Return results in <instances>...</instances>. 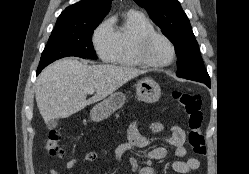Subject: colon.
<instances>
[{
  "mask_svg": "<svg viewBox=\"0 0 249 174\" xmlns=\"http://www.w3.org/2000/svg\"><path fill=\"white\" fill-rule=\"evenodd\" d=\"M174 100L184 109L188 119L187 142L193 151L201 156H205L207 149L205 137L202 132L203 113L201 101L198 94L174 90L172 92ZM62 134L59 131H51L44 141L45 150L52 156H61L63 150L60 146Z\"/></svg>",
  "mask_w": 249,
  "mask_h": 174,
  "instance_id": "1",
  "label": "colon"
}]
</instances>
